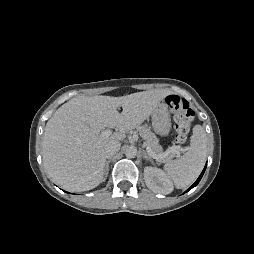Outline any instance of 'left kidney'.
Listing matches in <instances>:
<instances>
[{"instance_id":"left-kidney-1","label":"left kidney","mask_w":254,"mask_h":254,"mask_svg":"<svg viewBox=\"0 0 254 254\" xmlns=\"http://www.w3.org/2000/svg\"><path fill=\"white\" fill-rule=\"evenodd\" d=\"M144 180L147 187L154 193L170 194L173 184L164 171L156 167L144 168Z\"/></svg>"}]
</instances>
